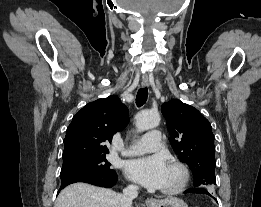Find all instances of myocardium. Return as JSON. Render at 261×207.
Masks as SVG:
<instances>
[{
	"label": "myocardium",
	"instance_id": "1",
	"mask_svg": "<svg viewBox=\"0 0 261 207\" xmlns=\"http://www.w3.org/2000/svg\"><path fill=\"white\" fill-rule=\"evenodd\" d=\"M168 166L178 170L179 180L178 182L168 188H161L160 192L167 195H174L182 192L189 182V171L187 167L179 161H170Z\"/></svg>",
	"mask_w": 261,
	"mask_h": 207
}]
</instances>
